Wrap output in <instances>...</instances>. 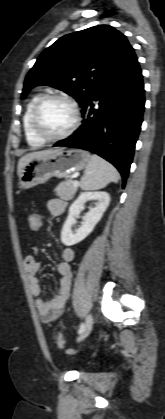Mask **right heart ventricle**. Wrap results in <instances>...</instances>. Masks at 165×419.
<instances>
[{"label":"right heart ventricle","mask_w":165,"mask_h":419,"mask_svg":"<svg viewBox=\"0 0 165 419\" xmlns=\"http://www.w3.org/2000/svg\"><path fill=\"white\" fill-rule=\"evenodd\" d=\"M39 98H40L39 94H36L31 97V99L28 101L26 105L24 115H23V130H24L25 139L27 143L32 147H40L44 144V141L35 135L31 126V111L34 104Z\"/></svg>","instance_id":"obj_1"}]
</instances>
